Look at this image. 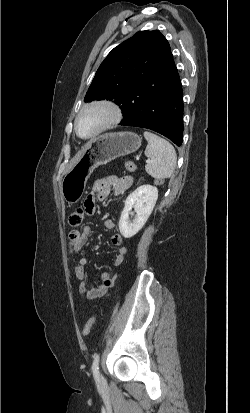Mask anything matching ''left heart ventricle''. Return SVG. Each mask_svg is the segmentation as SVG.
Returning a JSON list of instances; mask_svg holds the SVG:
<instances>
[{
    "label": "left heart ventricle",
    "mask_w": 250,
    "mask_h": 413,
    "mask_svg": "<svg viewBox=\"0 0 250 413\" xmlns=\"http://www.w3.org/2000/svg\"><path fill=\"white\" fill-rule=\"evenodd\" d=\"M110 114L102 108H93L85 111L79 119L78 129L81 135L87 136L95 132Z\"/></svg>",
    "instance_id": "1"
}]
</instances>
